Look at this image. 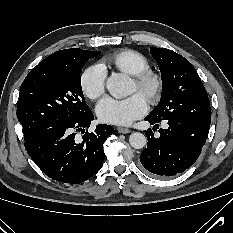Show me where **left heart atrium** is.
<instances>
[{
    "mask_svg": "<svg viewBox=\"0 0 233 233\" xmlns=\"http://www.w3.org/2000/svg\"><path fill=\"white\" fill-rule=\"evenodd\" d=\"M146 111V100L139 93L127 98L107 96L96 107L97 116L102 122L116 125H129L142 117Z\"/></svg>",
    "mask_w": 233,
    "mask_h": 233,
    "instance_id": "left-heart-atrium-1",
    "label": "left heart atrium"
}]
</instances>
